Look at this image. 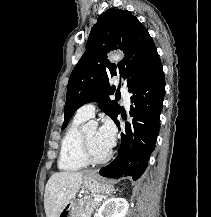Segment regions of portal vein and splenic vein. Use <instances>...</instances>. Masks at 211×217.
Wrapping results in <instances>:
<instances>
[{"label": "portal vein and splenic vein", "mask_w": 211, "mask_h": 217, "mask_svg": "<svg viewBox=\"0 0 211 217\" xmlns=\"http://www.w3.org/2000/svg\"><path fill=\"white\" fill-rule=\"evenodd\" d=\"M92 201L99 202V201H101V199L94 198Z\"/></svg>", "instance_id": "18ae733b"}]
</instances>
